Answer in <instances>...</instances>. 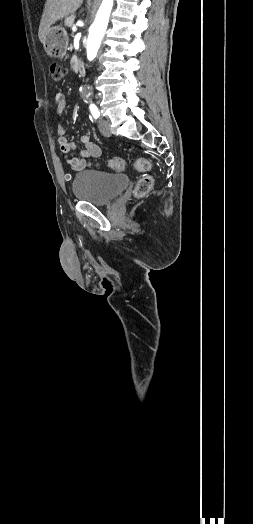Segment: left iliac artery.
<instances>
[{
  "label": "left iliac artery",
  "instance_id": "44dca946",
  "mask_svg": "<svg viewBox=\"0 0 253 524\" xmlns=\"http://www.w3.org/2000/svg\"><path fill=\"white\" fill-rule=\"evenodd\" d=\"M90 111L95 119L100 117V112L95 104H90Z\"/></svg>",
  "mask_w": 253,
  "mask_h": 524
}]
</instances>
